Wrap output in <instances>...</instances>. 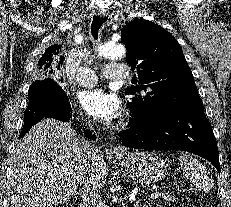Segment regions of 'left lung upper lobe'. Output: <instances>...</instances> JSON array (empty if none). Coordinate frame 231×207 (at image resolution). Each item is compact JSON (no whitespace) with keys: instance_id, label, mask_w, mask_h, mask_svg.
<instances>
[{"instance_id":"obj_1","label":"left lung upper lobe","mask_w":231,"mask_h":207,"mask_svg":"<svg viewBox=\"0 0 231 207\" xmlns=\"http://www.w3.org/2000/svg\"><path fill=\"white\" fill-rule=\"evenodd\" d=\"M127 64L137 70L140 86L125 90L134 118L157 119L201 106L192 72L178 41L159 25L135 19L121 30Z\"/></svg>"}]
</instances>
